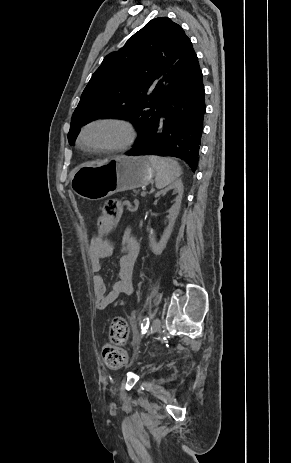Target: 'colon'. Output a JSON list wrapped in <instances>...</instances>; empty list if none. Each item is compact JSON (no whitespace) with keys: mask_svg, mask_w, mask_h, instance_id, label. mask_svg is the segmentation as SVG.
I'll return each instance as SVG.
<instances>
[{"mask_svg":"<svg viewBox=\"0 0 291 463\" xmlns=\"http://www.w3.org/2000/svg\"><path fill=\"white\" fill-rule=\"evenodd\" d=\"M121 207L118 201L111 200L98 213V232L105 233L114 230V221L118 218ZM128 334L127 324L120 318H115L111 326V341L104 344L102 358L108 368H120L126 361V354L121 344Z\"/></svg>","mask_w":291,"mask_h":463,"instance_id":"5ec220e1","label":"colon"}]
</instances>
